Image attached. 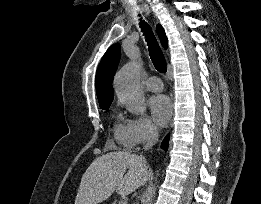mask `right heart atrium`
Listing matches in <instances>:
<instances>
[{
    "mask_svg": "<svg viewBox=\"0 0 261 204\" xmlns=\"http://www.w3.org/2000/svg\"><path fill=\"white\" fill-rule=\"evenodd\" d=\"M131 146L152 141L157 135V127L146 116L135 117L128 122Z\"/></svg>",
    "mask_w": 261,
    "mask_h": 204,
    "instance_id": "obj_1",
    "label": "right heart atrium"
}]
</instances>
